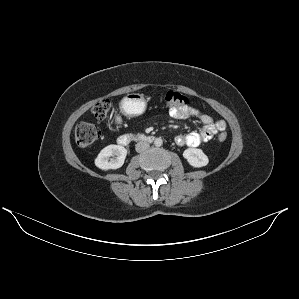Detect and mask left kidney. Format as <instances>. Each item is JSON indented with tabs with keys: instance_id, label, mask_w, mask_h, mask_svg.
Instances as JSON below:
<instances>
[{
	"instance_id": "obj_1",
	"label": "left kidney",
	"mask_w": 299,
	"mask_h": 299,
	"mask_svg": "<svg viewBox=\"0 0 299 299\" xmlns=\"http://www.w3.org/2000/svg\"><path fill=\"white\" fill-rule=\"evenodd\" d=\"M183 157L191 166L195 168L206 166L209 162L208 157L203 153V151L196 148L186 149L183 152Z\"/></svg>"
}]
</instances>
